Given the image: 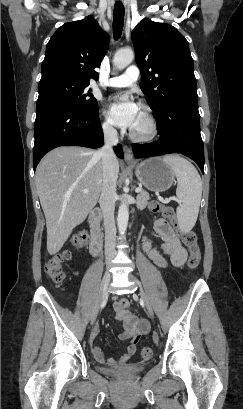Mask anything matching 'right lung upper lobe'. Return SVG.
<instances>
[{"label": "right lung upper lobe", "instance_id": "1", "mask_svg": "<svg viewBox=\"0 0 243 409\" xmlns=\"http://www.w3.org/2000/svg\"><path fill=\"white\" fill-rule=\"evenodd\" d=\"M109 45V36L90 15L65 23L51 37L42 63L41 79L62 76L89 84L97 80Z\"/></svg>", "mask_w": 243, "mask_h": 409}]
</instances>
